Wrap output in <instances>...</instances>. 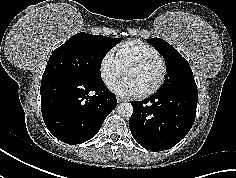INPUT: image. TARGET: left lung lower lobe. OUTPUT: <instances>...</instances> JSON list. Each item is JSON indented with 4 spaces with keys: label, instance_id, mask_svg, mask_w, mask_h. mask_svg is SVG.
Segmentation results:
<instances>
[{
    "label": "left lung lower lobe",
    "instance_id": "obj_1",
    "mask_svg": "<svg viewBox=\"0 0 236 178\" xmlns=\"http://www.w3.org/2000/svg\"><path fill=\"white\" fill-rule=\"evenodd\" d=\"M197 93H155L142 102H131L129 128L145 149L158 152L172 148L191 129L197 108Z\"/></svg>",
    "mask_w": 236,
    "mask_h": 178
}]
</instances>
